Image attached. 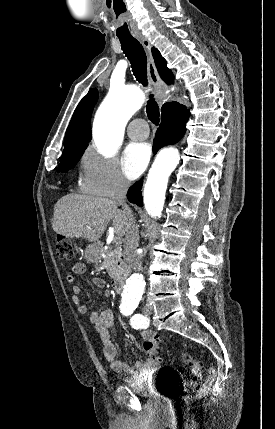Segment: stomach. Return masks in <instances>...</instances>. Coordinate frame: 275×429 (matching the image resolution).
<instances>
[{
	"mask_svg": "<svg viewBox=\"0 0 275 429\" xmlns=\"http://www.w3.org/2000/svg\"><path fill=\"white\" fill-rule=\"evenodd\" d=\"M101 250L97 243L90 244L85 249V259L89 263H94L100 259Z\"/></svg>",
	"mask_w": 275,
	"mask_h": 429,
	"instance_id": "obj_1",
	"label": "stomach"
}]
</instances>
